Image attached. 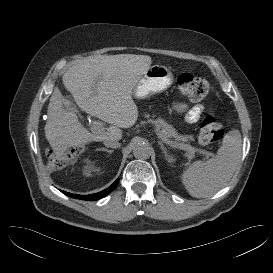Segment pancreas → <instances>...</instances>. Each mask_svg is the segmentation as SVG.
Here are the masks:
<instances>
[{
  "label": "pancreas",
  "mask_w": 273,
  "mask_h": 273,
  "mask_svg": "<svg viewBox=\"0 0 273 273\" xmlns=\"http://www.w3.org/2000/svg\"><path fill=\"white\" fill-rule=\"evenodd\" d=\"M151 123L155 125V128L159 133L163 134L168 139H174L173 142L181 146L188 145L184 142L188 141V139H192V136H183L178 134L177 130L172 125L168 124L161 118L151 120Z\"/></svg>",
  "instance_id": "1"
}]
</instances>
